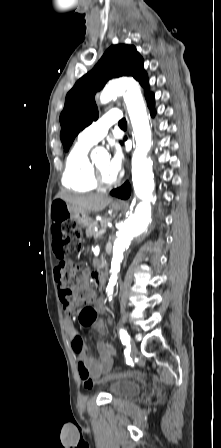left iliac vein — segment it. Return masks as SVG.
Returning a JSON list of instances; mask_svg holds the SVG:
<instances>
[{
	"instance_id": "obj_1",
	"label": "left iliac vein",
	"mask_w": 221,
	"mask_h": 448,
	"mask_svg": "<svg viewBox=\"0 0 221 448\" xmlns=\"http://www.w3.org/2000/svg\"><path fill=\"white\" fill-rule=\"evenodd\" d=\"M138 350L135 342L132 340L130 342V356L133 358L137 354Z\"/></svg>"
}]
</instances>
